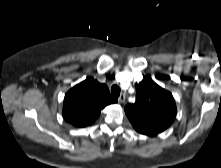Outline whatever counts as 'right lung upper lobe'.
<instances>
[{"label": "right lung upper lobe", "mask_w": 221, "mask_h": 168, "mask_svg": "<svg viewBox=\"0 0 221 168\" xmlns=\"http://www.w3.org/2000/svg\"><path fill=\"white\" fill-rule=\"evenodd\" d=\"M116 102L105 84L87 77L65 94L63 117L75 127H86L98 118L103 108Z\"/></svg>", "instance_id": "obj_1"}]
</instances>
